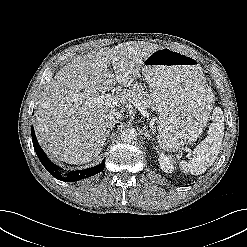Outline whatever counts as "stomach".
I'll return each instance as SVG.
<instances>
[{
	"mask_svg": "<svg viewBox=\"0 0 247 247\" xmlns=\"http://www.w3.org/2000/svg\"><path fill=\"white\" fill-rule=\"evenodd\" d=\"M141 72L159 115L160 147L178 150L197 139L213 101L198 60L161 47L144 59Z\"/></svg>",
	"mask_w": 247,
	"mask_h": 247,
	"instance_id": "obj_1",
	"label": "stomach"
}]
</instances>
